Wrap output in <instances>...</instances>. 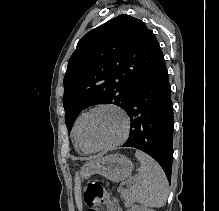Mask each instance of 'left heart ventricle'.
I'll return each mask as SVG.
<instances>
[{"label": "left heart ventricle", "instance_id": "1", "mask_svg": "<svg viewBox=\"0 0 219 211\" xmlns=\"http://www.w3.org/2000/svg\"><path fill=\"white\" fill-rule=\"evenodd\" d=\"M124 128L122 115L111 108L93 111L83 125V138L90 146H99L118 139Z\"/></svg>", "mask_w": 219, "mask_h": 211}]
</instances>
